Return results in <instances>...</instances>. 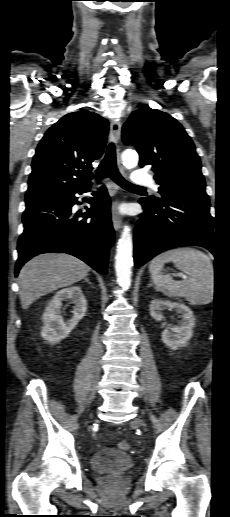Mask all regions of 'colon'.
<instances>
[{
    "label": "colon",
    "instance_id": "obj_1",
    "mask_svg": "<svg viewBox=\"0 0 230 517\" xmlns=\"http://www.w3.org/2000/svg\"><path fill=\"white\" fill-rule=\"evenodd\" d=\"M118 448L122 451H127L130 449V444L127 441H120L118 443Z\"/></svg>",
    "mask_w": 230,
    "mask_h": 517
}]
</instances>
